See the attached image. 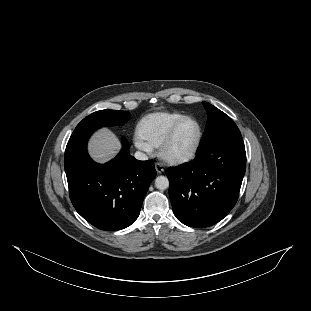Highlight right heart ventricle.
Instances as JSON below:
<instances>
[{
    "mask_svg": "<svg viewBox=\"0 0 311 311\" xmlns=\"http://www.w3.org/2000/svg\"><path fill=\"white\" fill-rule=\"evenodd\" d=\"M187 115L176 111H157L143 116L136 124L139 139L152 147H159L174 125Z\"/></svg>",
    "mask_w": 311,
    "mask_h": 311,
    "instance_id": "1",
    "label": "right heart ventricle"
}]
</instances>
